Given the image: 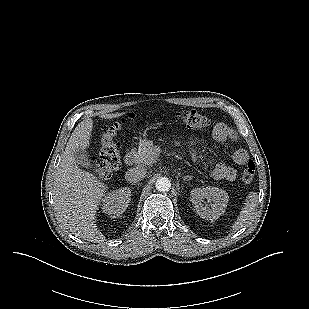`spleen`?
<instances>
[{"label":"spleen","mask_w":309,"mask_h":309,"mask_svg":"<svg viewBox=\"0 0 309 309\" xmlns=\"http://www.w3.org/2000/svg\"><path fill=\"white\" fill-rule=\"evenodd\" d=\"M258 194L257 192H250L246 197L245 203L238 215L237 221L233 224L232 230H239L241 227L247 223L252 217L256 204H257Z\"/></svg>","instance_id":"obj_1"}]
</instances>
